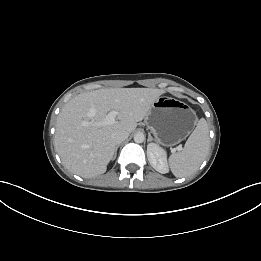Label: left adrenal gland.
I'll return each mask as SVG.
<instances>
[{
	"mask_svg": "<svg viewBox=\"0 0 261 261\" xmlns=\"http://www.w3.org/2000/svg\"><path fill=\"white\" fill-rule=\"evenodd\" d=\"M153 140V138H152V136L150 135V133L148 134V141H152Z\"/></svg>",
	"mask_w": 261,
	"mask_h": 261,
	"instance_id": "a2214340",
	"label": "left adrenal gland"
}]
</instances>
